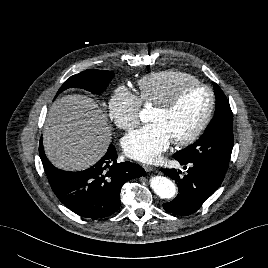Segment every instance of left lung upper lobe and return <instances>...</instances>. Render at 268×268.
I'll use <instances>...</instances> for the list:
<instances>
[{
    "label": "left lung upper lobe",
    "instance_id": "left-lung-upper-lobe-1",
    "mask_svg": "<svg viewBox=\"0 0 268 268\" xmlns=\"http://www.w3.org/2000/svg\"><path fill=\"white\" fill-rule=\"evenodd\" d=\"M214 90L215 116L203 135L194 144L175 153L174 157L184 163L211 164L226 172L233 148V114L225 94L216 83Z\"/></svg>",
    "mask_w": 268,
    "mask_h": 268
}]
</instances>
